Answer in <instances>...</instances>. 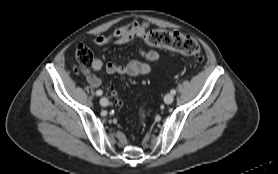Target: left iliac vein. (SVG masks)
<instances>
[{
    "label": "left iliac vein",
    "instance_id": "4c4485c4",
    "mask_svg": "<svg viewBox=\"0 0 278 174\" xmlns=\"http://www.w3.org/2000/svg\"><path fill=\"white\" fill-rule=\"evenodd\" d=\"M174 100V97L172 94H166L165 97H164V102L166 104H171Z\"/></svg>",
    "mask_w": 278,
    "mask_h": 174
}]
</instances>
